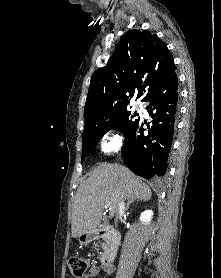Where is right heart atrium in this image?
<instances>
[{"mask_svg": "<svg viewBox=\"0 0 221 278\" xmlns=\"http://www.w3.org/2000/svg\"><path fill=\"white\" fill-rule=\"evenodd\" d=\"M122 145V138L116 132L106 133L101 140V147L104 152L118 151Z\"/></svg>", "mask_w": 221, "mask_h": 278, "instance_id": "obj_1", "label": "right heart atrium"}]
</instances>
